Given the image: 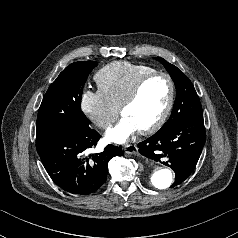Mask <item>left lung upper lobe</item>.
I'll return each instance as SVG.
<instances>
[{
    "label": "left lung upper lobe",
    "mask_w": 238,
    "mask_h": 238,
    "mask_svg": "<svg viewBox=\"0 0 238 238\" xmlns=\"http://www.w3.org/2000/svg\"><path fill=\"white\" fill-rule=\"evenodd\" d=\"M156 59L164 65L176 86V99L174 107L169 120L163 125L162 128H168L183 120H203V111L199 97L188 77L176 66L170 64L163 58L157 57Z\"/></svg>",
    "instance_id": "left-lung-upper-lobe-1"
}]
</instances>
